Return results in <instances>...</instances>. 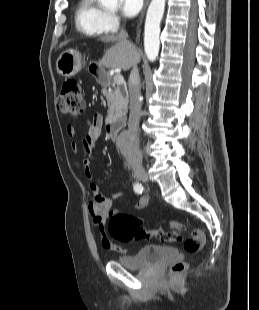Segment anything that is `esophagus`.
<instances>
[{"instance_id":"obj_1","label":"esophagus","mask_w":259,"mask_h":310,"mask_svg":"<svg viewBox=\"0 0 259 310\" xmlns=\"http://www.w3.org/2000/svg\"><path fill=\"white\" fill-rule=\"evenodd\" d=\"M148 2H149V0H145L144 7H143V10H142L140 18H139L138 27H137L138 34L141 31V25H142V22H143V18H144V14H145Z\"/></svg>"}]
</instances>
